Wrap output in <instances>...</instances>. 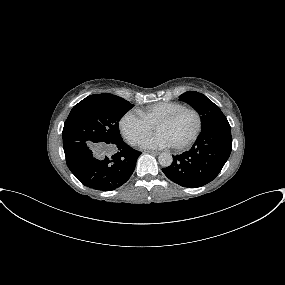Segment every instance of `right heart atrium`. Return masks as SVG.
<instances>
[{"mask_svg": "<svg viewBox=\"0 0 285 285\" xmlns=\"http://www.w3.org/2000/svg\"><path fill=\"white\" fill-rule=\"evenodd\" d=\"M120 130L125 139L132 145H137L153 129L138 111L129 110L120 119Z\"/></svg>", "mask_w": 285, "mask_h": 285, "instance_id": "1", "label": "right heart atrium"}]
</instances>
